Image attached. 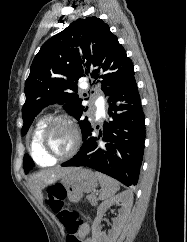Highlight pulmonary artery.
<instances>
[{
  "instance_id": "obj_1",
  "label": "pulmonary artery",
  "mask_w": 187,
  "mask_h": 242,
  "mask_svg": "<svg viewBox=\"0 0 187 242\" xmlns=\"http://www.w3.org/2000/svg\"><path fill=\"white\" fill-rule=\"evenodd\" d=\"M97 107H98V111L100 114L103 113V106L101 104H97Z\"/></svg>"
}]
</instances>
